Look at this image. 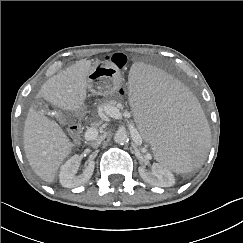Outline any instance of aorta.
<instances>
[{"label": "aorta", "mask_w": 243, "mask_h": 243, "mask_svg": "<svg viewBox=\"0 0 243 243\" xmlns=\"http://www.w3.org/2000/svg\"><path fill=\"white\" fill-rule=\"evenodd\" d=\"M113 139L117 144L120 145L126 144L129 141L127 132L125 130L116 131Z\"/></svg>", "instance_id": "1"}]
</instances>
